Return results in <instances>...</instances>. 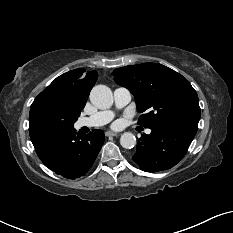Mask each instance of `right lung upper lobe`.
Here are the masks:
<instances>
[{
  "instance_id": "obj_1",
  "label": "right lung upper lobe",
  "mask_w": 233,
  "mask_h": 233,
  "mask_svg": "<svg viewBox=\"0 0 233 233\" xmlns=\"http://www.w3.org/2000/svg\"><path fill=\"white\" fill-rule=\"evenodd\" d=\"M84 71V69H75L57 77L35 98L32 105L40 99L50 97L81 112L98 77L96 71L86 74H84Z\"/></svg>"
}]
</instances>
